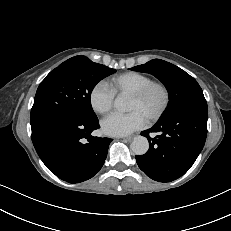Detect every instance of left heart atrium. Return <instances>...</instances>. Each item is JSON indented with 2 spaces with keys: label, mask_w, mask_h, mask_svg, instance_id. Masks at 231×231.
<instances>
[{
  "label": "left heart atrium",
  "mask_w": 231,
  "mask_h": 231,
  "mask_svg": "<svg viewBox=\"0 0 231 231\" xmlns=\"http://www.w3.org/2000/svg\"><path fill=\"white\" fill-rule=\"evenodd\" d=\"M147 118L139 111L127 114H111L101 122L102 131L109 136H126L143 128Z\"/></svg>",
  "instance_id": "1"
}]
</instances>
